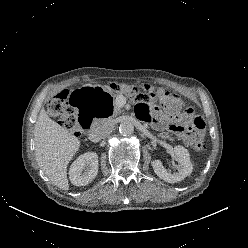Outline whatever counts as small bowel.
<instances>
[{"instance_id": "small-bowel-1", "label": "small bowel", "mask_w": 248, "mask_h": 248, "mask_svg": "<svg viewBox=\"0 0 248 248\" xmlns=\"http://www.w3.org/2000/svg\"><path fill=\"white\" fill-rule=\"evenodd\" d=\"M136 115L139 119L150 122L158 128L167 127L169 131L179 136L187 145L203 136L202 131H195L190 128V114L170 115L164 117L157 108L148 104H137L135 107Z\"/></svg>"}]
</instances>
